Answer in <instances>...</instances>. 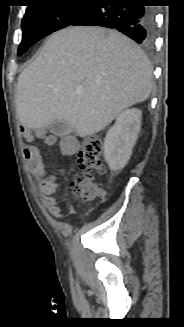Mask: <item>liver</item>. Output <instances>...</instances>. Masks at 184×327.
Returning <instances> with one entry per match:
<instances>
[{
	"label": "liver",
	"mask_w": 184,
	"mask_h": 327,
	"mask_svg": "<svg viewBox=\"0 0 184 327\" xmlns=\"http://www.w3.org/2000/svg\"><path fill=\"white\" fill-rule=\"evenodd\" d=\"M152 73L144 52L125 35L68 27L54 33L19 75V121L38 129L65 120L78 136H91L124 109L148 99Z\"/></svg>",
	"instance_id": "liver-1"
}]
</instances>
